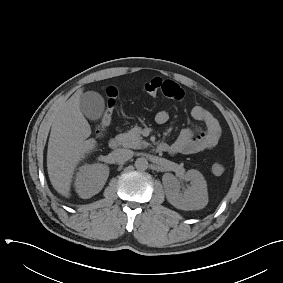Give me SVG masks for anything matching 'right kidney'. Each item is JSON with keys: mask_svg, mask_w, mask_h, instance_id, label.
<instances>
[{"mask_svg": "<svg viewBox=\"0 0 283 283\" xmlns=\"http://www.w3.org/2000/svg\"><path fill=\"white\" fill-rule=\"evenodd\" d=\"M108 176V166L100 163L84 164L76 174V192L83 199L91 198L102 190Z\"/></svg>", "mask_w": 283, "mask_h": 283, "instance_id": "obj_1", "label": "right kidney"}]
</instances>
